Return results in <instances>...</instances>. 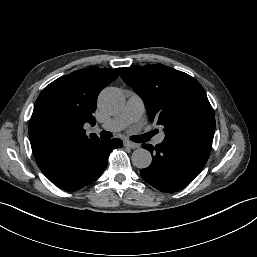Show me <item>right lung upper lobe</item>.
<instances>
[{
	"label": "right lung upper lobe",
	"instance_id": "cb5924a9",
	"mask_svg": "<svg viewBox=\"0 0 257 257\" xmlns=\"http://www.w3.org/2000/svg\"><path fill=\"white\" fill-rule=\"evenodd\" d=\"M119 68H85L62 76L39 94L29 123V138L36 160L49 159L98 139L86 135L85 123L93 113L102 89L119 76Z\"/></svg>",
	"mask_w": 257,
	"mask_h": 257
}]
</instances>
